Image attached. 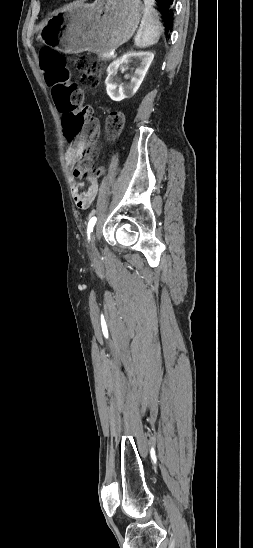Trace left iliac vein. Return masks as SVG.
<instances>
[{
	"label": "left iliac vein",
	"instance_id": "4c4485c4",
	"mask_svg": "<svg viewBox=\"0 0 253 548\" xmlns=\"http://www.w3.org/2000/svg\"><path fill=\"white\" fill-rule=\"evenodd\" d=\"M90 250H91V253H92L93 257L98 256V250H97V247H96V237H95L94 233L92 234L91 239H90Z\"/></svg>",
	"mask_w": 253,
	"mask_h": 548
}]
</instances>
